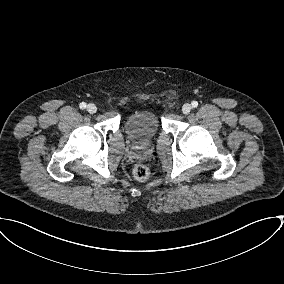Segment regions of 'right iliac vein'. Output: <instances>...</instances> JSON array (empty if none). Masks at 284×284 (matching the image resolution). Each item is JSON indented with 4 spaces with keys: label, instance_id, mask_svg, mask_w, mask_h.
<instances>
[{
    "label": "right iliac vein",
    "instance_id": "obj_1",
    "mask_svg": "<svg viewBox=\"0 0 284 284\" xmlns=\"http://www.w3.org/2000/svg\"><path fill=\"white\" fill-rule=\"evenodd\" d=\"M86 109L90 114H94L97 111V107L93 103L88 104Z\"/></svg>",
    "mask_w": 284,
    "mask_h": 284
}]
</instances>
